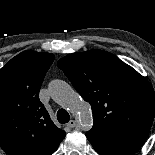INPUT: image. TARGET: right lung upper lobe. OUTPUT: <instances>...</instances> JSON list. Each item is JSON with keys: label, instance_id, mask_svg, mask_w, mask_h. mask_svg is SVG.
Segmentation results:
<instances>
[{"label": "right lung upper lobe", "instance_id": "obj_1", "mask_svg": "<svg viewBox=\"0 0 155 155\" xmlns=\"http://www.w3.org/2000/svg\"><path fill=\"white\" fill-rule=\"evenodd\" d=\"M54 58L27 50L0 69V147L8 155H50L66 135L39 100Z\"/></svg>", "mask_w": 155, "mask_h": 155}]
</instances>
